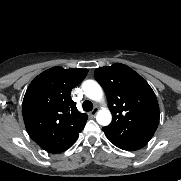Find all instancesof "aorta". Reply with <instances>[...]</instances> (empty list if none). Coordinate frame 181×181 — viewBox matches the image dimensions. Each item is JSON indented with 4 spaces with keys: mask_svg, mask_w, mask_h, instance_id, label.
<instances>
[{
    "mask_svg": "<svg viewBox=\"0 0 181 181\" xmlns=\"http://www.w3.org/2000/svg\"><path fill=\"white\" fill-rule=\"evenodd\" d=\"M82 89L84 94L97 102H101L103 100V91L100 85L93 80H86L83 85ZM112 119L111 113L107 108H102L96 116L97 122L102 126H107L110 124Z\"/></svg>",
    "mask_w": 181,
    "mask_h": 181,
    "instance_id": "obj_1",
    "label": "aorta"
}]
</instances>
